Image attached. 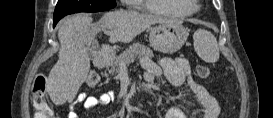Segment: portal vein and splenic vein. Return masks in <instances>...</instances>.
Wrapping results in <instances>:
<instances>
[{"mask_svg":"<svg viewBox=\"0 0 273 118\" xmlns=\"http://www.w3.org/2000/svg\"><path fill=\"white\" fill-rule=\"evenodd\" d=\"M104 32H105L106 34H109V31L104 30ZM144 61H145V59H141V60H140L141 63H143ZM121 68H124V69H125L126 66H123V67H121Z\"/></svg>","mask_w":273,"mask_h":118,"instance_id":"18ae733b","label":"portal vein and splenic vein"}]
</instances>
